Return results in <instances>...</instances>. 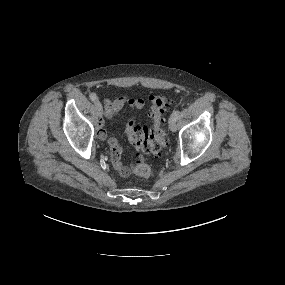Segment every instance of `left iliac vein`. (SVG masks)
<instances>
[{"instance_id": "obj_1", "label": "left iliac vein", "mask_w": 285, "mask_h": 285, "mask_svg": "<svg viewBox=\"0 0 285 285\" xmlns=\"http://www.w3.org/2000/svg\"><path fill=\"white\" fill-rule=\"evenodd\" d=\"M176 119L174 117L171 116L170 120H169V128L171 131H176L177 130V125H176Z\"/></svg>"}]
</instances>
